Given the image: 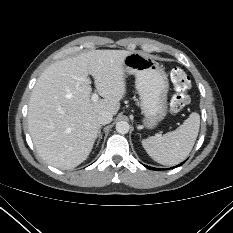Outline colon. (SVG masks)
Listing matches in <instances>:
<instances>
[{
	"label": "colon",
	"instance_id": "colon-1",
	"mask_svg": "<svg viewBox=\"0 0 233 233\" xmlns=\"http://www.w3.org/2000/svg\"><path fill=\"white\" fill-rule=\"evenodd\" d=\"M170 80L175 89L170 101V110L173 113H179L189 102L188 91L191 87V80L188 74L178 67L170 70Z\"/></svg>",
	"mask_w": 233,
	"mask_h": 233
}]
</instances>
